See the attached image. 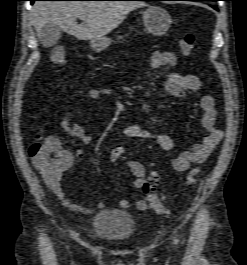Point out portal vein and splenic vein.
<instances>
[{
  "instance_id": "portal-vein-and-splenic-vein-1",
  "label": "portal vein and splenic vein",
  "mask_w": 247,
  "mask_h": 265,
  "mask_svg": "<svg viewBox=\"0 0 247 265\" xmlns=\"http://www.w3.org/2000/svg\"><path fill=\"white\" fill-rule=\"evenodd\" d=\"M81 19L85 20V17H80Z\"/></svg>"
}]
</instances>
